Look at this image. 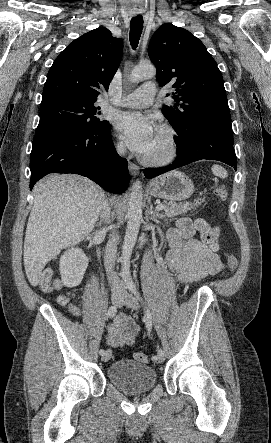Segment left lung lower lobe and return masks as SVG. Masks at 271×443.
<instances>
[{
    "label": "left lung lower lobe",
    "mask_w": 271,
    "mask_h": 443,
    "mask_svg": "<svg viewBox=\"0 0 271 443\" xmlns=\"http://www.w3.org/2000/svg\"><path fill=\"white\" fill-rule=\"evenodd\" d=\"M177 134L178 138H175L177 158L171 165L144 169L146 178H154L202 159L219 160L237 170L231 121L205 115Z\"/></svg>",
    "instance_id": "obj_1"
}]
</instances>
